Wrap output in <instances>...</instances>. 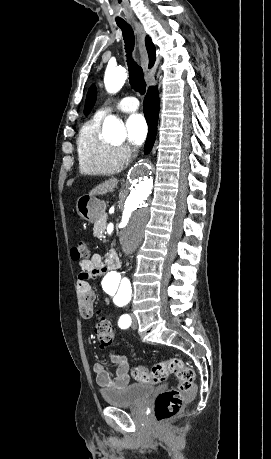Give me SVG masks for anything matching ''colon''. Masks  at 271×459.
<instances>
[{
  "label": "colon",
  "mask_w": 271,
  "mask_h": 459,
  "mask_svg": "<svg viewBox=\"0 0 271 459\" xmlns=\"http://www.w3.org/2000/svg\"><path fill=\"white\" fill-rule=\"evenodd\" d=\"M89 250L86 242L79 241L71 248L74 261L86 259ZM95 335L102 346H109L114 341V332L110 321L101 316L95 324ZM170 374L178 378V386L160 393L155 400V418L163 423L176 416L188 400L196 393L195 372L179 357H172L153 365L151 368L138 366L133 369V378L145 384H157L165 381Z\"/></svg>",
  "instance_id": "5ec220e1"
}]
</instances>
